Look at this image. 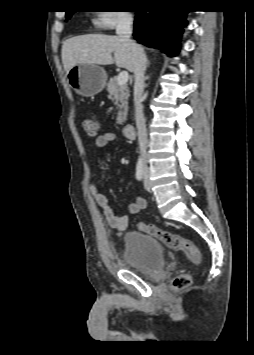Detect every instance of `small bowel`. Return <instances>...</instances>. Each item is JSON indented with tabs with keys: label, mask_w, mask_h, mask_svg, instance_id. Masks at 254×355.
<instances>
[{
	"label": "small bowel",
	"mask_w": 254,
	"mask_h": 355,
	"mask_svg": "<svg viewBox=\"0 0 254 355\" xmlns=\"http://www.w3.org/2000/svg\"><path fill=\"white\" fill-rule=\"evenodd\" d=\"M119 138L114 133H104L99 135L94 142L95 147L103 148L110 143L118 142ZM90 194L96 201L97 205L102 209L105 220L108 225L113 228L118 235H122L126 230L130 217L139 214L147 207V201L144 197L137 196L128 207V214L117 215L110 207L107 197L102 194L95 184L89 187Z\"/></svg>",
	"instance_id": "obj_1"
}]
</instances>
